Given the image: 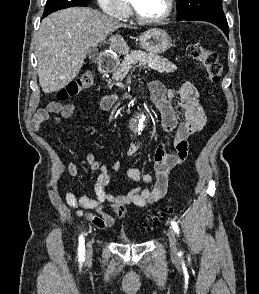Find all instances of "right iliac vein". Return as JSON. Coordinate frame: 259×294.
<instances>
[{
    "instance_id": "1",
    "label": "right iliac vein",
    "mask_w": 259,
    "mask_h": 294,
    "mask_svg": "<svg viewBox=\"0 0 259 294\" xmlns=\"http://www.w3.org/2000/svg\"><path fill=\"white\" fill-rule=\"evenodd\" d=\"M92 257V244L89 242L86 249V259L90 260Z\"/></svg>"
}]
</instances>
